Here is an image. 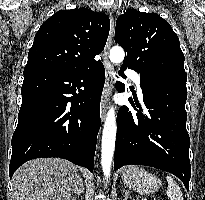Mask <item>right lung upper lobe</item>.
<instances>
[{
	"mask_svg": "<svg viewBox=\"0 0 205 200\" xmlns=\"http://www.w3.org/2000/svg\"><path fill=\"white\" fill-rule=\"evenodd\" d=\"M110 30L107 15L87 8L61 10L37 31L25 69L80 70L96 64Z\"/></svg>",
	"mask_w": 205,
	"mask_h": 200,
	"instance_id": "1",
	"label": "right lung upper lobe"
}]
</instances>
